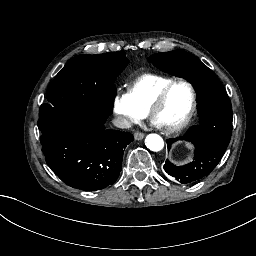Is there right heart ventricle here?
<instances>
[{
    "mask_svg": "<svg viewBox=\"0 0 256 256\" xmlns=\"http://www.w3.org/2000/svg\"><path fill=\"white\" fill-rule=\"evenodd\" d=\"M173 80L174 78L172 77L156 78L151 84L134 89L131 93V97L140 101L142 107L145 108L148 104L153 102L157 95Z\"/></svg>",
    "mask_w": 256,
    "mask_h": 256,
    "instance_id": "right-heart-ventricle-1",
    "label": "right heart ventricle"
}]
</instances>
